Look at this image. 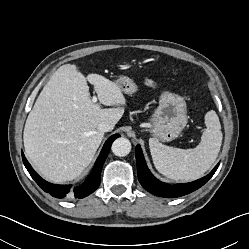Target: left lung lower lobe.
I'll use <instances>...</instances> for the list:
<instances>
[{
    "label": "left lung lower lobe",
    "instance_id": "left-lung-lower-lobe-1",
    "mask_svg": "<svg viewBox=\"0 0 249 249\" xmlns=\"http://www.w3.org/2000/svg\"><path fill=\"white\" fill-rule=\"evenodd\" d=\"M135 154L139 182L145 190L160 197L175 198L197 190L213 176L219 166V164H217L207 176L199 180L185 184L170 185L160 182L151 174L145 163V159L139 145L136 146Z\"/></svg>",
    "mask_w": 249,
    "mask_h": 249
}]
</instances>
